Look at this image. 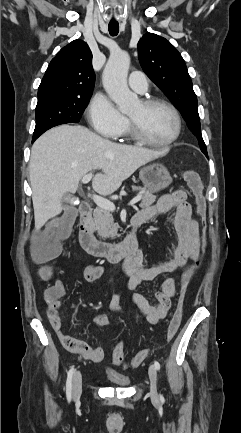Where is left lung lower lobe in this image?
<instances>
[{
  "mask_svg": "<svg viewBox=\"0 0 241 433\" xmlns=\"http://www.w3.org/2000/svg\"><path fill=\"white\" fill-rule=\"evenodd\" d=\"M207 157H208V154H207V152L206 153H204Z\"/></svg>",
  "mask_w": 241,
  "mask_h": 433,
  "instance_id": "0a47b994",
  "label": "left lung lower lobe"
}]
</instances>
